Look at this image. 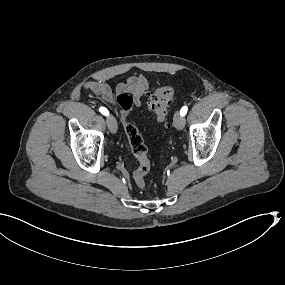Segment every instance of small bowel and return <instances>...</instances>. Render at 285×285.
<instances>
[{
	"label": "small bowel",
	"mask_w": 285,
	"mask_h": 285,
	"mask_svg": "<svg viewBox=\"0 0 285 285\" xmlns=\"http://www.w3.org/2000/svg\"><path fill=\"white\" fill-rule=\"evenodd\" d=\"M84 87L101 97L102 100L111 106L115 105L116 95L123 92L132 93L136 100L135 105L139 106L142 97L149 89V83L142 75H132L125 82L118 83L114 89L108 84L96 80L87 81Z\"/></svg>",
	"instance_id": "small-bowel-1"
}]
</instances>
